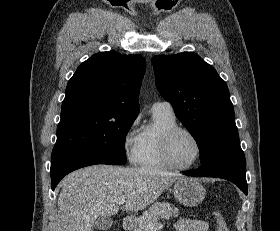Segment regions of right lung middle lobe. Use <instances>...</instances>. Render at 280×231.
I'll return each mask as SVG.
<instances>
[{
  "mask_svg": "<svg viewBox=\"0 0 280 231\" xmlns=\"http://www.w3.org/2000/svg\"><path fill=\"white\" fill-rule=\"evenodd\" d=\"M134 120L122 117L60 120L53 149H75L125 164V138Z\"/></svg>",
  "mask_w": 280,
  "mask_h": 231,
  "instance_id": "right-lung-middle-lobe-1",
  "label": "right lung middle lobe"
}]
</instances>
